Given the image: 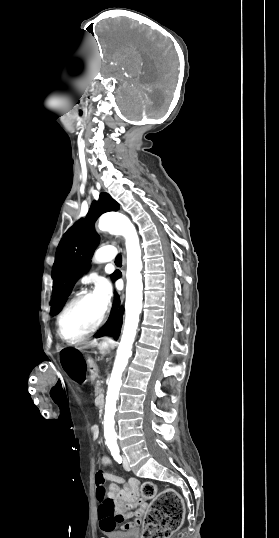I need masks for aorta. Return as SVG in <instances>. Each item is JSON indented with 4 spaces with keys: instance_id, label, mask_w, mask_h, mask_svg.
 <instances>
[{
    "instance_id": "aorta-1",
    "label": "aorta",
    "mask_w": 279,
    "mask_h": 538,
    "mask_svg": "<svg viewBox=\"0 0 279 538\" xmlns=\"http://www.w3.org/2000/svg\"><path fill=\"white\" fill-rule=\"evenodd\" d=\"M98 227L102 231H109L112 234L122 235L125 238L127 252L125 322L108 384L104 415V436L106 444L110 449H116L118 447L117 435L114 429L116 401L122 384V373L131 356L132 345L135 340L136 330L139 323V315L142 310V260L136 229L126 216L119 213L105 214L100 217Z\"/></svg>"
}]
</instances>
